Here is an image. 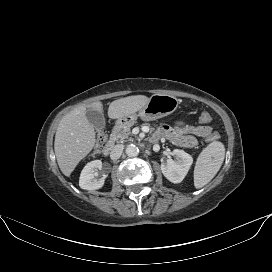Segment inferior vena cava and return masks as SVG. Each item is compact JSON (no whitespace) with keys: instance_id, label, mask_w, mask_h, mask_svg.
Returning <instances> with one entry per match:
<instances>
[{"instance_id":"602c4592","label":"inferior vena cava","mask_w":272,"mask_h":272,"mask_svg":"<svg viewBox=\"0 0 272 272\" xmlns=\"http://www.w3.org/2000/svg\"><path fill=\"white\" fill-rule=\"evenodd\" d=\"M123 149H124L123 144L115 145L114 148L112 149L111 153H110V158L112 160L119 159L121 157V155H122Z\"/></svg>"}]
</instances>
